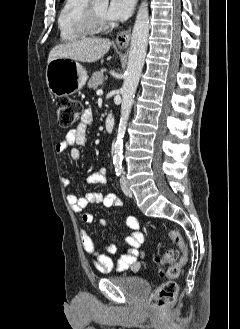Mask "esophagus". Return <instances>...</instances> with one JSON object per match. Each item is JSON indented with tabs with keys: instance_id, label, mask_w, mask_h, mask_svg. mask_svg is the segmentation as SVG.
<instances>
[{
	"instance_id": "34e87169",
	"label": "esophagus",
	"mask_w": 240,
	"mask_h": 329,
	"mask_svg": "<svg viewBox=\"0 0 240 329\" xmlns=\"http://www.w3.org/2000/svg\"><path fill=\"white\" fill-rule=\"evenodd\" d=\"M131 36V29L121 31L116 36V44L119 47H126L129 44Z\"/></svg>"
}]
</instances>
